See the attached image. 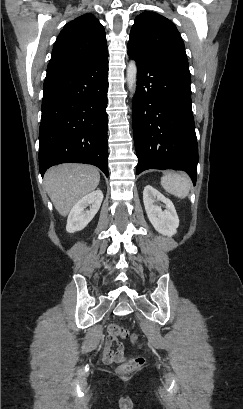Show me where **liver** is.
<instances>
[{"label":"liver","mask_w":243,"mask_h":409,"mask_svg":"<svg viewBox=\"0 0 243 409\" xmlns=\"http://www.w3.org/2000/svg\"><path fill=\"white\" fill-rule=\"evenodd\" d=\"M96 167L87 164H61L50 168L44 176L46 191L60 215L71 208L99 184Z\"/></svg>","instance_id":"liver-1"}]
</instances>
